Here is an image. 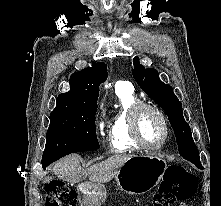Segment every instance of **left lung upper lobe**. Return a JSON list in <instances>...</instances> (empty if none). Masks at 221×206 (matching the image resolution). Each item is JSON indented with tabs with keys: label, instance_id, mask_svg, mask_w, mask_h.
Returning <instances> with one entry per match:
<instances>
[{
	"label": "left lung upper lobe",
	"instance_id": "left-lung-upper-lobe-1",
	"mask_svg": "<svg viewBox=\"0 0 221 206\" xmlns=\"http://www.w3.org/2000/svg\"><path fill=\"white\" fill-rule=\"evenodd\" d=\"M132 72L138 85L167 112L175 132L180 155L195 165L199 164V154L192 138L190 126L183 117L182 105L172 87L159 79V74L155 69H146L141 65L139 57L133 59Z\"/></svg>",
	"mask_w": 221,
	"mask_h": 206
}]
</instances>
